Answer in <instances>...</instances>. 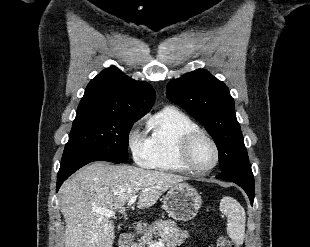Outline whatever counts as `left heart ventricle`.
Returning a JSON list of instances; mask_svg holds the SVG:
<instances>
[{"instance_id": "1", "label": "left heart ventricle", "mask_w": 310, "mask_h": 247, "mask_svg": "<svg viewBox=\"0 0 310 247\" xmlns=\"http://www.w3.org/2000/svg\"><path fill=\"white\" fill-rule=\"evenodd\" d=\"M191 160L193 165L199 168L210 166L215 160V151L210 142L199 139L192 148Z\"/></svg>"}]
</instances>
